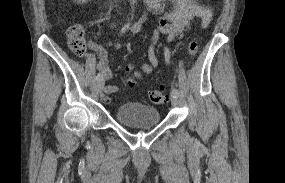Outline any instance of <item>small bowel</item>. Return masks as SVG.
<instances>
[{"instance_id":"small-bowel-1","label":"small bowel","mask_w":285,"mask_h":183,"mask_svg":"<svg viewBox=\"0 0 285 183\" xmlns=\"http://www.w3.org/2000/svg\"><path fill=\"white\" fill-rule=\"evenodd\" d=\"M147 11L153 13L158 18V25L153 31V42L147 49L148 62L143 63L141 72H135V76L140 78L142 74H151L159 65V60L155 54V48L160 35H165L167 43L174 40H182L184 35L190 30V22L198 18L203 28L207 27L212 19L211 10L198 0H145ZM112 28L115 26L112 24ZM141 25L137 23L133 26L134 33L140 31ZM110 46L120 47L118 43H109ZM93 54L98 59V69L106 79L111 78V70L108 66L107 51L100 45H93ZM118 92L116 85H106L101 100L104 103L110 102V95Z\"/></svg>"}]
</instances>
